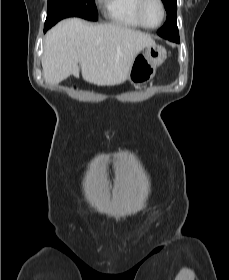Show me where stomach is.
Here are the masks:
<instances>
[{
  "mask_svg": "<svg viewBox=\"0 0 229 280\" xmlns=\"http://www.w3.org/2000/svg\"><path fill=\"white\" fill-rule=\"evenodd\" d=\"M166 50L157 45L147 46L141 55L133 60L127 79L134 84L150 81L156 73V69L166 59Z\"/></svg>",
  "mask_w": 229,
  "mask_h": 280,
  "instance_id": "0dacf381",
  "label": "stomach"
}]
</instances>
